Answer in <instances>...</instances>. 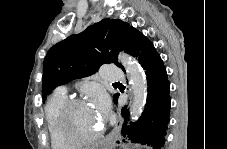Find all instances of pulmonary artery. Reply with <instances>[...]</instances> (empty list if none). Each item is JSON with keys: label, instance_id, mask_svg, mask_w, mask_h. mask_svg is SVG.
Masks as SVG:
<instances>
[{"label": "pulmonary artery", "instance_id": "pulmonary-artery-1", "mask_svg": "<svg viewBox=\"0 0 227 149\" xmlns=\"http://www.w3.org/2000/svg\"><path fill=\"white\" fill-rule=\"evenodd\" d=\"M102 75L103 78L108 82H117L125 78L123 70L113 65H104L102 69ZM59 91L66 92V88L61 87Z\"/></svg>", "mask_w": 227, "mask_h": 149}]
</instances>
